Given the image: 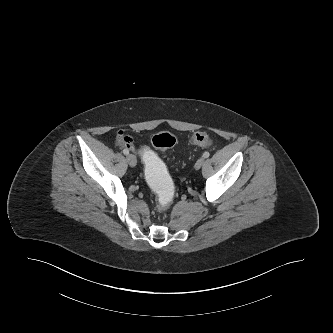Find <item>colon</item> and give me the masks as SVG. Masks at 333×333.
I'll list each match as a JSON object with an SVG mask.
<instances>
[{
	"instance_id": "colon-1",
	"label": "colon",
	"mask_w": 333,
	"mask_h": 333,
	"mask_svg": "<svg viewBox=\"0 0 333 333\" xmlns=\"http://www.w3.org/2000/svg\"><path fill=\"white\" fill-rule=\"evenodd\" d=\"M190 141L196 146L208 147L211 137L207 132L198 131L191 135ZM151 143L154 149L164 152L176 144V138L171 133L161 132L152 137ZM154 149L148 144H141L137 148V155L142 160L147 182L157 194L159 208L165 209L175 200L176 194L166 160L157 156Z\"/></svg>"
}]
</instances>
